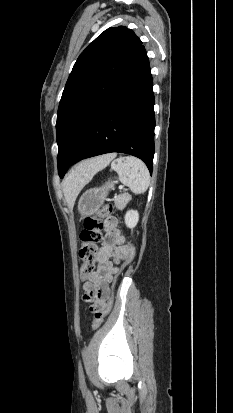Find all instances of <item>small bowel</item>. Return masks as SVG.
Masks as SVG:
<instances>
[{
    "label": "small bowel",
    "instance_id": "1",
    "mask_svg": "<svg viewBox=\"0 0 233 413\" xmlns=\"http://www.w3.org/2000/svg\"><path fill=\"white\" fill-rule=\"evenodd\" d=\"M127 250L125 238L117 228V220L109 218L106 221V233L97 256V269L83 286L84 295L82 302L98 307L99 303L104 305L109 298V284L119 272L116 266L124 261ZM93 311V310H92Z\"/></svg>",
    "mask_w": 233,
    "mask_h": 413
}]
</instances>
